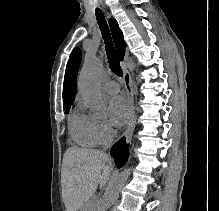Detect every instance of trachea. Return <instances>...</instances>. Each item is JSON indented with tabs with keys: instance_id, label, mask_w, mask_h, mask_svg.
<instances>
[{
	"instance_id": "obj_1",
	"label": "trachea",
	"mask_w": 219,
	"mask_h": 211,
	"mask_svg": "<svg viewBox=\"0 0 219 211\" xmlns=\"http://www.w3.org/2000/svg\"><path fill=\"white\" fill-rule=\"evenodd\" d=\"M96 18L102 33V37L104 39L109 67L111 71L115 73V75L122 77L123 72L121 70L119 60L117 58L116 50L112 42L110 31L107 22L105 20V16L103 15L102 11L99 8L96 9Z\"/></svg>"
}]
</instances>
